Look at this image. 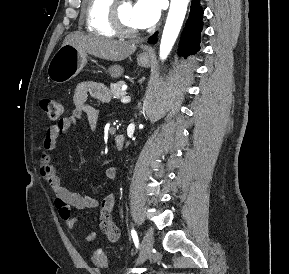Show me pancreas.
Returning <instances> with one entry per match:
<instances>
[{
  "label": "pancreas",
  "mask_w": 289,
  "mask_h": 274,
  "mask_svg": "<svg viewBox=\"0 0 289 274\" xmlns=\"http://www.w3.org/2000/svg\"><path fill=\"white\" fill-rule=\"evenodd\" d=\"M123 84H124L123 81L111 84L110 93L113 96V98H121L122 96L126 95V92L122 90Z\"/></svg>",
  "instance_id": "cf45deb5"
}]
</instances>
